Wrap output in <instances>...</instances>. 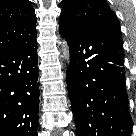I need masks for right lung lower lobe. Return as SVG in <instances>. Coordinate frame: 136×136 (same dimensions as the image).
I'll return each instance as SVG.
<instances>
[{
	"mask_svg": "<svg viewBox=\"0 0 136 136\" xmlns=\"http://www.w3.org/2000/svg\"><path fill=\"white\" fill-rule=\"evenodd\" d=\"M36 36L0 51V136H37Z\"/></svg>",
	"mask_w": 136,
	"mask_h": 136,
	"instance_id": "98d812e1",
	"label": "right lung lower lobe"
}]
</instances>
